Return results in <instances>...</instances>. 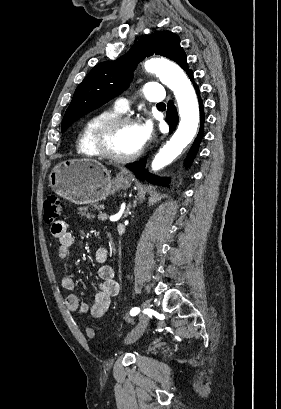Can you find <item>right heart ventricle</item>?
<instances>
[{"label":"right heart ventricle","instance_id":"1","mask_svg":"<svg viewBox=\"0 0 281 409\" xmlns=\"http://www.w3.org/2000/svg\"><path fill=\"white\" fill-rule=\"evenodd\" d=\"M116 116V113L111 110L97 112L90 116L82 129L78 141V150L88 157H102L96 146V135L99 126L107 119Z\"/></svg>","mask_w":281,"mask_h":409}]
</instances>
